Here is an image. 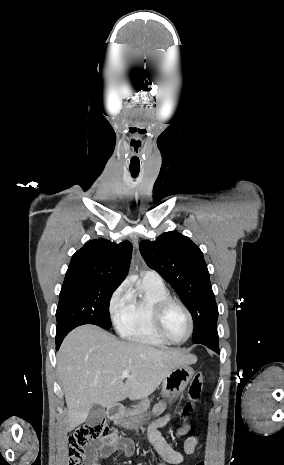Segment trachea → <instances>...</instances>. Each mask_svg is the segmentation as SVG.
Wrapping results in <instances>:
<instances>
[{
    "label": "trachea",
    "instance_id": "1",
    "mask_svg": "<svg viewBox=\"0 0 284 465\" xmlns=\"http://www.w3.org/2000/svg\"><path fill=\"white\" fill-rule=\"evenodd\" d=\"M130 173L133 178L137 177L139 174V169H130Z\"/></svg>",
    "mask_w": 284,
    "mask_h": 465
}]
</instances>
